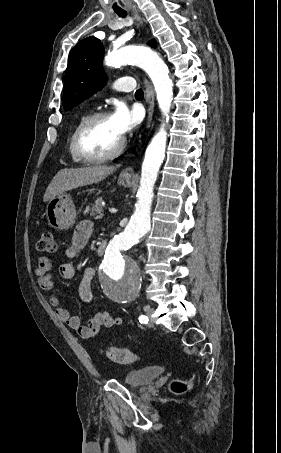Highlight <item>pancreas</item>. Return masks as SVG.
<instances>
[{
  "label": "pancreas",
  "mask_w": 281,
  "mask_h": 453,
  "mask_svg": "<svg viewBox=\"0 0 281 453\" xmlns=\"http://www.w3.org/2000/svg\"><path fill=\"white\" fill-rule=\"evenodd\" d=\"M86 210L87 212H89L90 216H93V218H102V216H104L102 196L96 198L95 204H92V206H87Z\"/></svg>",
  "instance_id": "obj_1"
}]
</instances>
